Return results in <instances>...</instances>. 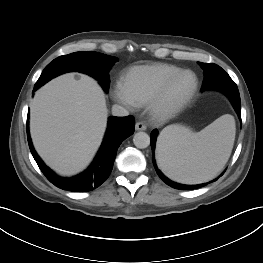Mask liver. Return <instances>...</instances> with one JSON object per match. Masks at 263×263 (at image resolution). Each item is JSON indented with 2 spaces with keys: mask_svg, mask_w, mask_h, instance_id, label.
<instances>
[{
  "mask_svg": "<svg viewBox=\"0 0 263 263\" xmlns=\"http://www.w3.org/2000/svg\"><path fill=\"white\" fill-rule=\"evenodd\" d=\"M107 106L98 83L87 75L59 76L31 102L30 133L45 163L61 175L84 169L101 144Z\"/></svg>",
  "mask_w": 263,
  "mask_h": 263,
  "instance_id": "liver-1",
  "label": "liver"
}]
</instances>
